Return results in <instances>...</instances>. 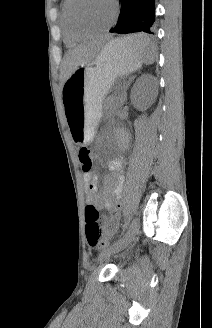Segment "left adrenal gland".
<instances>
[{
    "mask_svg": "<svg viewBox=\"0 0 212 328\" xmlns=\"http://www.w3.org/2000/svg\"><path fill=\"white\" fill-rule=\"evenodd\" d=\"M135 78V76H132L129 78L128 81L124 82V86H123V102L127 101V94L126 91L128 89V87L130 86L132 80Z\"/></svg>",
    "mask_w": 212,
    "mask_h": 328,
    "instance_id": "obj_1",
    "label": "left adrenal gland"
}]
</instances>
